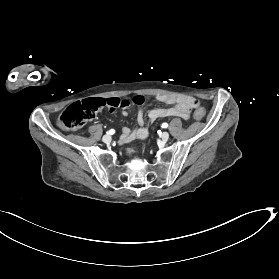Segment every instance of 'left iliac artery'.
I'll return each instance as SVG.
<instances>
[{
    "label": "left iliac artery",
    "mask_w": 279,
    "mask_h": 279,
    "mask_svg": "<svg viewBox=\"0 0 279 279\" xmlns=\"http://www.w3.org/2000/svg\"><path fill=\"white\" fill-rule=\"evenodd\" d=\"M162 127H163V128H167V127H168V124H167V123H163V124H162Z\"/></svg>",
    "instance_id": "obj_1"
}]
</instances>
